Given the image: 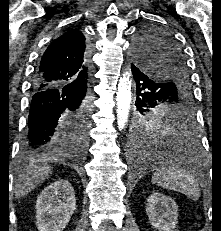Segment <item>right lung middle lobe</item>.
Instances as JSON below:
<instances>
[{
  "label": "right lung middle lobe",
  "instance_id": "1",
  "mask_svg": "<svg viewBox=\"0 0 221 231\" xmlns=\"http://www.w3.org/2000/svg\"><path fill=\"white\" fill-rule=\"evenodd\" d=\"M89 111L90 106L83 107L67 120L70 132L85 145L88 141Z\"/></svg>",
  "mask_w": 221,
  "mask_h": 231
}]
</instances>
